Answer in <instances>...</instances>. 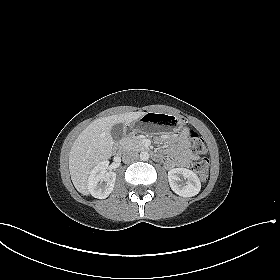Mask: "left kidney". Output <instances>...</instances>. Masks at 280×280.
Here are the masks:
<instances>
[{
    "label": "left kidney",
    "instance_id": "1",
    "mask_svg": "<svg viewBox=\"0 0 280 280\" xmlns=\"http://www.w3.org/2000/svg\"><path fill=\"white\" fill-rule=\"evenodd\" d=\"M181 176L186 181L185 183L181 182ZM168 181L173 192L182 197L195 196L201 189V182L198 176L186 168L171 169L168 172Z\"/></svg>",
    "mask_w": 280,
    "mask_h": 280
}]
</instances>
